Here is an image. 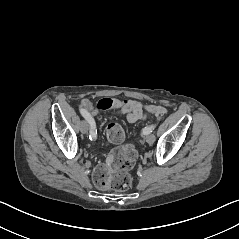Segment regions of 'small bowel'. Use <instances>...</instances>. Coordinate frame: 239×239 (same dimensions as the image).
Segmentation results:
<instances>
[{
  "instance_id": "1",
  "label": "small bowel",
  "mask_w": 239,
  "mask_h": 239,
  "mask_svg": "<svg viewBox=\"0 0 239 239\" xmlns=\"http://www.w3.org/2000/svg\"><path fill=\"white\" fill-rule=\"evenodd\" d=\"M114 108L123 115L126 116L127 120L131 123L144 120L146 118V114L143 111L142 105L133 100H117L114 99ZM82 109H85L91 116L94 122V116L97 111L93 108L92 104L88 100H83L81 102Z\"/></svg>"
}]
</instances>
